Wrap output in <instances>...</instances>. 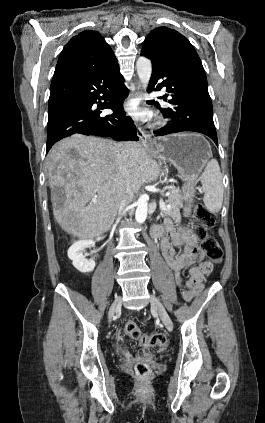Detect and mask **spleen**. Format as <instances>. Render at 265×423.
<instances>
[{
  "label": "spleen",
  "instance_id": "spleen-1",
  "mask_svg": "<svg viewBox=\"0 0 265 423\" xmlns=\"http://www.w3.org/2000/svg\"><path fill=\"white\" fill-rule=\"evenodd\" d=\"M204 191L203 201L206 208L211 213H217L221 210L223 203V184L222 174L217 160H210L200 177Z\"/></svg>",
  "mask_w": 265,
  "mask_h": 423
}]
</instances>
